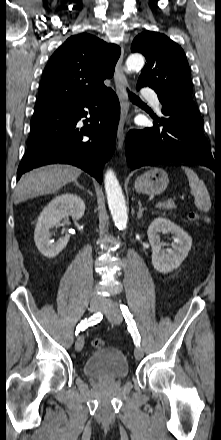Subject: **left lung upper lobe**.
<instances>
[{"label": "left lung upper lobe", "instance_id": "left-lung-upper-lobe-1", "mask_svg": "<svg viewBox=\"0 0 221 440\" xmlns=\"http://www.w3.org/2000/svg\"><path fill=\"white\" fill-rule=\"evenodd\" d=\"M132 52L146 58L137 85L155 90L163 105L198 114L192 99L190 68L182 48L166 35L144 31L133 40Z\"/></svg>", "mask_w": 221, "mask_h": 440}]
</instances>
